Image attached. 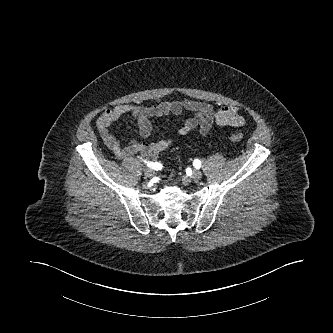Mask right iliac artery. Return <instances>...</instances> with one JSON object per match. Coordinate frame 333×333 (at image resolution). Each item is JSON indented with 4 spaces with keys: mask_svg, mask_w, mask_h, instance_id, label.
<instances>
[{
    "mask_svg": "<svg viewBox=\"0 0 333 333\" xmlns=\"http://www.w3.org/2000/svg\"><path fill=\"white\" fill-rule=\"evenodd\" d=\"M143 160V159H142ZM144 161V160H143ZM145 163H147V166L148 167H150V168H152V169H154V170H156V171H158V170H161L162 169V164L161 163H158V162H155V163H153V162H147V161H145Z\"/></svg>",
    "mask_w": 333,
    "mask_h": 333,
    "instance_id": "obj_1",
    "label": "right iliac artery"
}]
</instances>
